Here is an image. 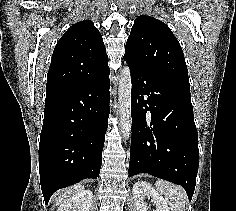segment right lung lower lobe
<instances>
[{"label": "right lung lower lobe", "instance_id": "1", "mask_svg": "<svg viewBox=\"0 0 236 211\" xmlns=\"http://www.w3.org/2000/svg\"><path fill=\"white\" fill-rule=\"evenodd\" d=\"M109 73L82 85L46 92L39 144L46 204L56 190L99 177L110 112Z\"/></svg>", "mask_w": 236, "mask_h": 211}]
</instances>
